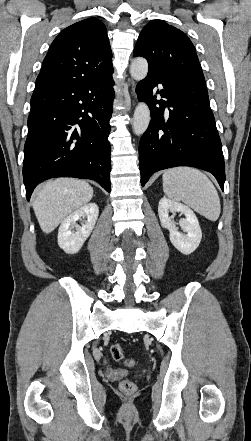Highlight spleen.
Returning a JSON list of instances; mask_svg holds the SVG:
<instances>
[{
	"label": "spleen",
	"instance_id": "3e777b00",
	"mask_svg": "<svg viewBox=\"0 0 251 441\" xmlns=\"http://www.w3.org/2000/svg\"><path fill=\"white\" fill-rule=\"evenodd\" d=\"M163 191L173 201H182L210 221L221 212L218 192L210 179L200 170L175 167L164 171Z\"/></svg>",
	"mask_w": 251,
	"mask_h": 441
}]
</instances>
